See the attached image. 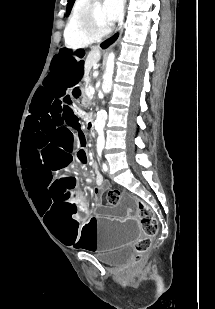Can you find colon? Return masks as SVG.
I'll list each match as a JSON object with an SVG mask.
<instances>
[{"label": "colon", "instance_id": "5ec220e1", "mask_svg": "<svg viewBox=\"0 0 215 309\" xmlns=\"http://www.w3.org/2000/svg\"><path fill=\"white\" fill-rule=\"evenodd\" d=\"M119 198L120 194L117 190H111L107 194V202L111 205H117ZM140 216L142 218L144 236L134 246L137 259H141L146 255L151 245V239L158 231L156 220L148 207L140 208Z\"/></svg>", "mask_w": 215, "mask_h": 309}]
</instances>
